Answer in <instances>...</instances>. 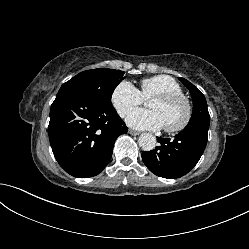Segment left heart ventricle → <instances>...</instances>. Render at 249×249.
Returning a JSON list of instances; mask_svg holds the SVG:
<instances>
[{
    "instance_id": "b2bd125f",
    "label": "left heart ventricle",
    "mask_w": 249,
    "mask_h": 249,
    "mask_svg": "<svg viewBox=\"0 0 249 249\" xmlns=\"http://www.w3.org/2000/svg\"><path fill=\"white\" fill-rule=\"evenodd\" d=\"M149 108L161 116L164 126H176L185 116V107L181 102L164 103L153 99L149 102Z\"/></svg>"
}]
</instances>
